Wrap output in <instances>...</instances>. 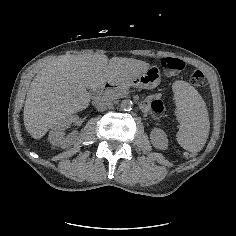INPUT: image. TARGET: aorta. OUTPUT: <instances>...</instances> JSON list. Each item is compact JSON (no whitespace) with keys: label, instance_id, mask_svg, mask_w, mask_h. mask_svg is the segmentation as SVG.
Instances as JSON below:
<instances>
[{"label":"aorta","instance_id":"obj_1","mask_svg":"<svg viewBox=\"0 0 236 236\" xmlns=\"http://www.w3.org/2000/svg\"><path fill=\"white\" fill-rule=\"evenodd\" d=\"M120 107L123 111H130L132 108V102L128 99H125L121 102Z\"/></svg>","mask_w":236,"mask_h":236}]
</instances>
